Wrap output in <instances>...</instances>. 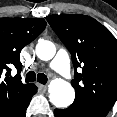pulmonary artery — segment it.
Returning <instances> with one entry per match:
<instances>
[{
    "mask_svg": "<svg viewBox=\"0 0 117 117\" xmlns=\"http://www.w3.org/2000/svg\"><path fill=\"white\" fill-rule=\"evenodd\" d=\"M49 67L61 77L69 79L71 77V69L68 52L64 49L59 50Z\"/></svg>",
    "mask_w": 117,
    "mask_h": 117,
    "instance_id": "e3ab8cb5",
    "label": "pulmonary artery"
}]
</instances>
